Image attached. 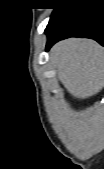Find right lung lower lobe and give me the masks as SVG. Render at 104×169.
Masks as SVG:
<instances>
[{"label": "right lung lower lobe", "instance_id": "obj_1", "mask_svg": "<svg viewBox=\"0 0 104 169\" xmlns=\"http://www.w3.org/2000/svg\"><path fill=\"white\" fill-rule=\"evenodd\" d=\"M46 50L68 37L91 38L104 45V6L100 0H78L65 5L45 30Z\"/></svg>", "mask_w": 104, "mask_h": 169}]
</instances>
